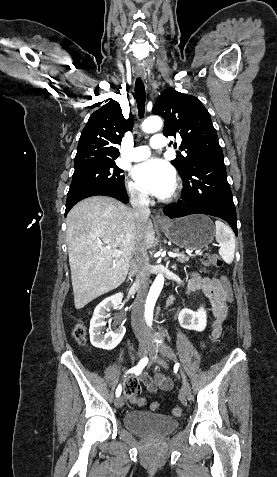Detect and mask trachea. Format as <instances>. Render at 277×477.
Returning a JSON list of instances; mask_svg holds the SVG:
<instances>
[{"mask_svg":"<svg viewBox=\"0 0 277 477\" xmlns=\"http://www.w3.org/2000/svg\"><path fill=\"white\" fill-rule=\"evenodd\" d=\"M135 98L137 102L139 117L142 118L145 111L146 93L145 86L141 78H137L135 82Z\"/></svg>","mask_w":277,"mask_h":477,"instance_id":"obj_1","label":"trachea"}]
</instances>
